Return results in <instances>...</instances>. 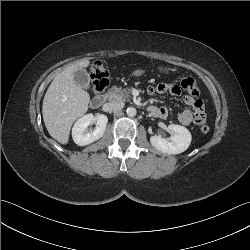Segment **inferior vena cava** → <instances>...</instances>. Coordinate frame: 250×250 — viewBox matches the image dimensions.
I'll use <instances>...</instances> for the list:
<instances>
[{
  "mask_svg": "<svg viewBox=\"0 0 250 250\" xmlns=\"http://www.w3.org/2000/svg\"><path fill=\"white\" fill-rule=\"evenodd\" d=\"M106 106L109 111L116 112V111L121 110L124 107V103L114 101V102L107 103Z\"/></svg>",
  "mask_w": 250,
  "mask_h": 250,
  "instance_id": "1",
  "label": "inferior vena cava"
}]
</instances>
